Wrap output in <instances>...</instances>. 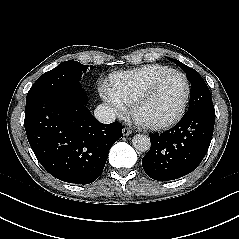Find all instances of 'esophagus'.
Masks as SVG:
<instances>
[{
	"mask_svg": "<svg viewBox=\"0 0 239 239\" xmlns=\"http://www.w3.org/2000/svg\"><path fill=\"white\" fill-rule=\"evenodd\" d=\"M122 133L124 136H129L132 133V131L128 127H124Z\"/></svg>",
	"mask_w": 239,
	"mask_h": 239,
	"instance_id": "1",
	"label": "esophagus"
}]
</instances>
